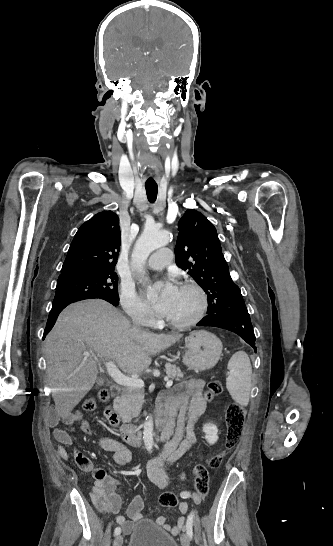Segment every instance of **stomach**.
<instances>
[{"mask_svg": "<svg viewBox=\"0 0 333 546\" xmlns=\"http://www.w3.org/2000/svg\"><path fill=\"white\" fill-rule=\"evenodd\" d=\"M184 364L195 372L213 368L222 354V342L214 334L205 331H194L185 338Z\"/></svg>", "mask_w": 333, "mask_h": 546, "instance_id": "0dacf381", "label": "stomach"}]
</instances>
